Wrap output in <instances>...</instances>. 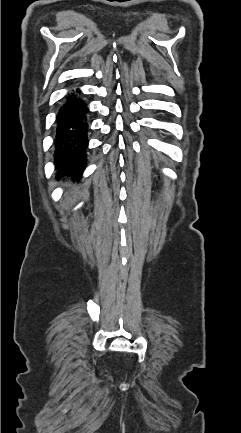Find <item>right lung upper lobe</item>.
<instances>
[{"label":"right lung upper lobe","instance_id":"1","mask_svg":"<svg viewBox=\"0 0 241 433\" xmlns=\"http://www.w3.org/2000/svg\"><path fill=\"white\" fill-rule=\"evenodd\" d=\"M55 152H58V146L56 145V150H55Z\"/></svg>","mask_w":241,"mask_h":433}]
</instances>
